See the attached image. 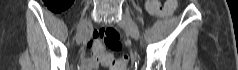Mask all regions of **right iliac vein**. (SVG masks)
Segmentation results:
<instances>
[{
	"mask_svg": "<svg viewBox=\"0 0 238 70\" xmlns=\"http://www.w3.org/2000/svg\"><path fill=\"white\" fill-rule=\"evenodd\" d=\"M89 24H90V22L88 19H83L80 21V23L78 25V29H77V34H76L77 42H81L83 40Z\"/></svg>",
	"mask_w": 238,
	"mask_h": 70,
	"instance_id": "63e3f726",
	"label": "right iliac vein"
}]
</instances>
